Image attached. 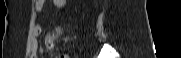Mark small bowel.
I'll return each instance as SVG.
<instances>
[{
	"label": "small bowel",
	"mask_w": 181,
	"mask_h": 58,
	"mask_svg": "<svg viewBox=\"0 0 181 58\" xmlns=\"http://www.w3.org/2000/svg\"><path fill=\"white\" fill-rule=\"evenodd\" d=\"M53 4L57 8H65L67 6V1L66 0H53ZM43 7H44V0H37L35 2V9L37 12H41ZM34 33H35V36H38L41 33V27L39 25L35 26ZM31 50H32L33 58H36V54H37V50H38V42L36 39L33 41Z\"/></svg>",
	"instance_id": "c3829d8e"
}]
</instances>
